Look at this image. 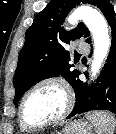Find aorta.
Masks as SVG:
<instances>
[{
    "mask_svg": "<svg viewBox=\"0 0 116 134\" xmlns=\"http://www.w3.org/2000/svg\"><path fill=\"white\" fill-rule=\"evenodd\" d=\"M78 20H83L93 36L94 53L91 77L95 78L108 55L111 44L108 25L105 18L97 10L89 6L78 7L69 17L70 23H75Z\"/></svg>",
    "mask_w": 116,
    "mask_h": 134,
    "instance_id": "obj_1",
    "label": "aorta"
}]
</instances>
